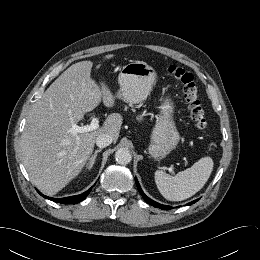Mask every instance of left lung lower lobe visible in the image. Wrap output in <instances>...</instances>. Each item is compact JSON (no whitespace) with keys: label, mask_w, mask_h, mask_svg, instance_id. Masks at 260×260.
<instances>
[{"label":"left lung lower lobe","mask_w":260,"mask_h":260,"mask_svg":"<svg viewBox=\"0 0 260 260\" xmlns=\"http://www.w3.org/2000/svg\"><path fill=\"white\" fill-rule=\"evenodd\" d=\"M135 181H136V185H137V188H138L140 194L142 195V197L144 198V200H145L147 203L151 204V205L154 206V207H158V208L165 209V210H168V209L171 208L170 206H166V205L159 204V203H157V202L151 200L150 198H148V197L144 194V192L142 191V189L140 188V185H139V183H138V181H137L136 178H135ZM196 201H197V200H195V201H193V202H190V203H188L187 205H191V204L195 203Z\"/></svg>","instance_id":"1"}]
</instances>
